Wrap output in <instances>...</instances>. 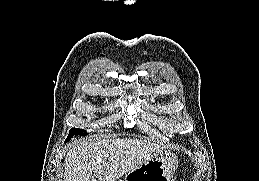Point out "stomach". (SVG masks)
I'll list each match as a JSON object with an SVG mask.
<instances>
[{
	"instance_id": "obj_1",
	"label": "stomach",
	"mask_w": 259,
	"mask_h": 181,
	"mask_svg": "<svg viewBox=\"0 0 259 181\" xmlns=\"http://www.w3.org/2000/svg\"><path fill=\"white\" fill-rule=\"evenodd\" d=\"M178 166L177 158L170 152H160L125 174V181H170Z\"/></svg>"
}]
</instances>
